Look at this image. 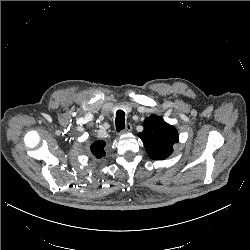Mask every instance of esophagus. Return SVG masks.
Here are the masks:
<instances>
[{"mask_svg": "<svg viewBox=\"0 0 250 250\" xmlns=\"http://www.w3.org/2000/svg\"><path fill=\"white\" fill-rule=\"evenodd\" d=\"M131 131H132V125H131V124H127L126 127H125V129L122 130V131L120 132V134L130 133Z\"/></svg>", "mask_w": 250, "mask_h": 250, "instance_id": "1", "label": "esophagus"}]
</instances>
